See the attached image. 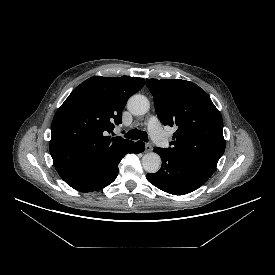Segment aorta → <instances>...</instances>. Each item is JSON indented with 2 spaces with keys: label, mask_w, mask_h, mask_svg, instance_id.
<instances>
[{
  "label": "aorta",
  "mask_w": 275,
  "mask_h": 275,
  "mask_svg": "<svg viewBox=\"0 0 275 275\" xmlns=\"http://www.w3.org/2000/svg\"><path fill=\"white\" fill-rule=\"evenodd\" d=\"M128 110L134 115H144L150 108L149 100L143 95H133L127 103ZM142 166L148 173H156L161 167V158L157 153L150 152L142 157Z\"/></svg>",
  "instance_id": "762f6f07"
}]
</instances>
